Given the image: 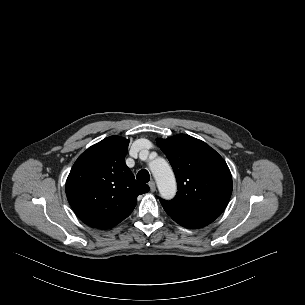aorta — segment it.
Segmentation results:
<instances>
[{
    "label": "aorta",
    "mask_w": 305,
    "mask_h": 305,
    "mask_svg": "<svg viewBox=\"0 0 305 305\" xmlns=\"http://www.w3.org/2000/svg\"><path fill=\"white\" fill-rule=\"evenodd\" d=\"M150 169L161 196L172 199L176 194V180L169 164L164 159L157 158L150 163Z\"/></svg>",
    "instance_id": "aorta-1"
}]
</instances>
